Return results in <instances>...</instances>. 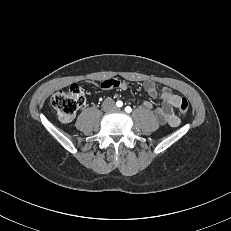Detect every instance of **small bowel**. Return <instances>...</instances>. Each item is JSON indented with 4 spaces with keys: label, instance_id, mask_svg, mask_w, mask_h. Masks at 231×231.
<instances>
[{
    "label": "small bowel",
    "instance_id": "c3829d8e",
    "mask_svg": "<svg viewBox=\"0 0 231 231\" xmlns=\"http://www.w3.org/2000/svg\"><path fill=\"white\" fill-rule=\"evenodd\" d=\"M102 87L105 89L119 88L125 90L126 84L115 79H107L102 83ZM144 89L151 98L156 99L160 97L162 105L155 108L150 101H144L142 105L146 109L153 110L157 120L161 124L177 127L181 120L175 109L179 107L182 97L173 93L169 87H163L159 93L155 82L151 80L144 82Z\"/></svg>",
    "mask_w": 231,
    "mask_h": 231
}]
</instances>
